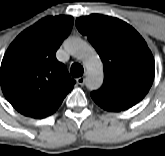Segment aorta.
Returning <instances> with one entry per match:
<instances>
[{
    "label": "aorta",
    "mask_w": 165,
    "mask_h": 156,
    "mask_svg": "<svg viewBox=\"0 0 165 156\" xmlns=\"http://www.w3.org/2000/svg\"><path fill=\"white\" fill-rule=\"evenodd\" d=\"M65 50L73 57L81 60L86 68V87L98 89L103 83V66L96 51L80 38H70L64 43Z\"/></svg>",
    "instance_id": "obj_1"
}]
</instances>
